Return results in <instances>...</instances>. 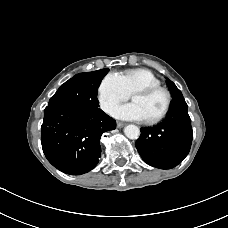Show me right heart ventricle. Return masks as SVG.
I'll use <instances>...</instances> for the list:
<instances>
[{
  "label": "right heart ventricle",
  "mask_w": 228,
  "mask_h": 228,
  "mask_svg": "<svg viewBox=\"0 0 228 228\" xmlns=\"http://www.w3.org/2000/svg\"><path fill=\"white\" fill-rule=\"evenodd\" d=\"M119 76L128 94L142 87L160 86L159 79L151 71L143 68L129 69Z\"/></svg>",
  "instance_id": "e07e8e85"
}]
</instances>
